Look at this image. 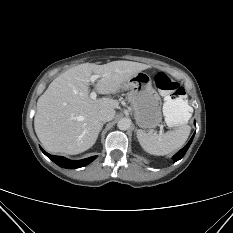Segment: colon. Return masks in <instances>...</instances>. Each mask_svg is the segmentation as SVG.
<instances>
[{"label":"colon","instance_id":"5ec220e1","mask_svg":"<svg viewBox=\"0 0 233 233\" xmlns=\"http://www.w3.org/2000/svg\"><path fill=\"white\" fill-rule=\"evenodd\" d=\"M156 88L165 95L163 112L168 124L183 126L192 116V107L189 105L184 88L163 72L154 78Z\"/></svg>","mask_w":233,"mask_h":233}]
</instances>
